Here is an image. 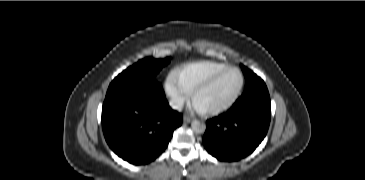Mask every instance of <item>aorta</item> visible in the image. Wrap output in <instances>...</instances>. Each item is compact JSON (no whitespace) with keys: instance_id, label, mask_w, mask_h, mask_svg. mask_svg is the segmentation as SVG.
Returning <instances> with one entry per match:
<instances>
[{"instance_id":"obj_1","label":"aorta","mask_w":365,"mask_h":180,"mask_svg":"<svg viewBox=\"0 0 365 180\" xmlns=\"http://www.w3.org/2000/svg\"><path fill=\"white\" fill-rule=\"evenodd\" d=\"M191 127L195 133H203L206 129L205 123L196 120L192 122Z\"/></svg>"}]
</instances>
